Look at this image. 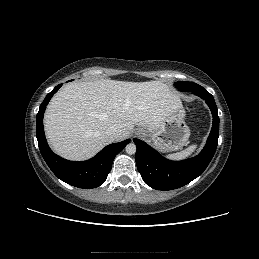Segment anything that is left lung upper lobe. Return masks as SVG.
I'll return each instance as SVG.
<instances>
[{
    "label": "left lung upper lobe",
    "instance_id": "obj_1",
    "mask_svg": "<svg viewBox=\"0 0 259 259\" xmlns=\"http://www.w3.org/2000/svg\"><path fill=\"white\" fill-rule=\"evenodd\" d=\"M175 87L178 88L180 91H197L200 90L202 87L196 83L192 82H185V81H180L176 82Z\"/></svg>",
    "mask_w": 259,
    "mask_h": 259
}]
</instances>
